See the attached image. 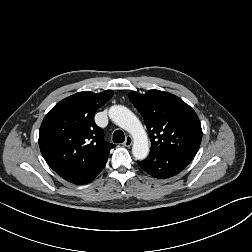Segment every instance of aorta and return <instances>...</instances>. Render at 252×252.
Instances as JSON below:
<instances>
[{
  "label": "aorta",
  "mask_w": 252,
  "mask_h": 252,
  "mask_svg": "<svg viewBox=\"0 0 252 252\" xmlns=\"http://www.w3.org/2000/svg\"><path fill=\"white\" fill-rule=\"evenodd\" d=\"M110 119L119 127L128 131L133 139L132 153L135 159L143 160L149 154L147 134L139 119L128 108L114 105L109 109Z\"/></svg>",
  "instance_id": "1"
}]
</instances>
